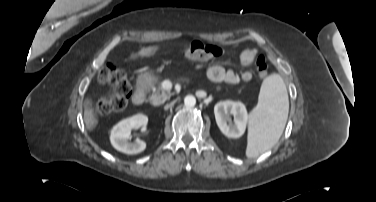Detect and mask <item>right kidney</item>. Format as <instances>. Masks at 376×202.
I'll list each match as a JSON object with an SVG mask.
<instances>
[{
	"label": "right kidney",
	"instance_id": "right-kidney-1",
	"mask_svg": "<svg viewBox=\"0 0 376 202\" xmlns=\"http://www.w3.org/2000/svg\"><path fill=\"white\" fill-rule=\"evenodd\" d=\"M147 123L148 117L143 114H136L121 120L111 130L110 141L112 146L125 154H138L144 151L146 148L144 141L130 142L129 138L132 129L144 127Z\"/></svg>",
	"mask_w": 376,
	"mask_h": 202
}]
</instances>
